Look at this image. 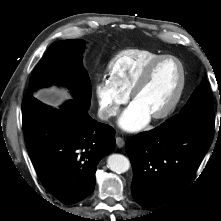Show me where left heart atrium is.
Instances as JSON below:
<instances>
[{
	"instance_id": "obj_1",
	"label": "left heart atrium",
	"mask_w": 221,
	"mask_h": 221,
	"mask_svg": "<svg viewBox=\"0 0 221 221\" xmlns=\"http://www.w3.org/2000/svg\"><path fill=\"white\" fill-rule=\"evenodd\" d=\"M150 117L149 112L134 101L121 115L119 125L129 132L138 131L148 123Z\"/></svg>"
}]
</instances>
